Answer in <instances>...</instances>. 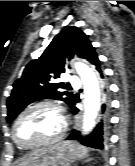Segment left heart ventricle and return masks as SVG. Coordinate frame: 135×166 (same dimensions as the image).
I'll list each match as a JSON object with an SVG mask.
<instances>
[{"mask_svg": "<svg viewBox=\"0 0 135 166\" xmlns=\"http://www.w3.org/2000/svg\"><path fill=\"white\" fill-rule=\"evenodd\" d=\"M62 126L58 111L50 107L36 108L26 113L16 128L17 139L33 144L55 137Z\"/></svg>", "mask_w": 135, "mask_h": 166, "instance_id": "b2bd125f", "label": "left heart ventricle"}]
</instances>
